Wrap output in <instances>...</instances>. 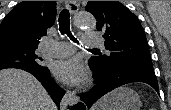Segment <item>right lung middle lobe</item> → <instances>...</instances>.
<instances>
[{
  "instance_id": "dd1d6c3e",
  "label": "right lung middle lobe",
  "mask_w": 171,
  "mask_h": 110,
  "mask_svg": "<svg viewBox=\"0 0 171 110\" xmlns=\"http://www.w3.org/2000/svg\"><path fill=\"white\" fill-rule=\"evenodd\" d=\"M37 48L2 45L0 46V70L5 68H35L46 69L42 58L35 53Z\"/></svg>"
}]
</instances>
